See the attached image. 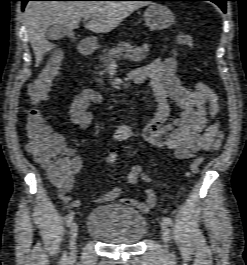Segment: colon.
<instances>
[{
    "instance_id": "obj_1",
    "label": "colon",
    "mask_w": 247,
    "mask_h": 265,
    "mask_svg": "<svg viewBox=\"0 0 247 265\" xmlns=\"http://www.w3.org/2000/svg\"><path fill=\"white\" fill-rule=\"evenodd\" d=\"M176 42L178 45L188 49H192L194 46L193 36L184 32L176 35ZM177 56L178 52L175 51L173 58L176 59ZM62 64V53L60 51L54 52L28 89L32 107L27 115L26 129L29 138L27 151L38 164L47 170L50 178L54 180H62L68 176L70 163L63 154V138L51 131L46 124L43 114V103L48 96L52 81L61 70ZM118 159V153L111 151L106 157V163L114 165ZM202 162L203 159L201 157L194 159L190 164V171L192 173L198 172Z\"/></svg>"
}]
</instances>
